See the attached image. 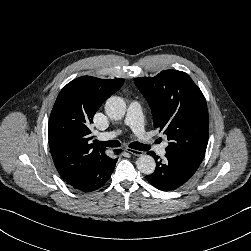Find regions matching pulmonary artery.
Masks as SVG:
<instances>
[{"label": "pulmonary artery", "mask_w": 251, "mask_h": 251, "mask_svg": "<svg viewBox=\"0 0 251 251\" xmlns=\"http://www.w3.org/2000/svg\"><path fill=\"white\" fill-rule=\"evenodd\" d=\"M124 125L129 126L134 134L142 140L145 144L154 148L157 154L164 156L166 153V144H158L151 136L144 130L142 107L138 101L130 103L126 116L123 120ZM121 129L113 130L106 134L107 138H113L121 134Z\"/></svg>", "instance_id": "obj_1"}]
</instances>
